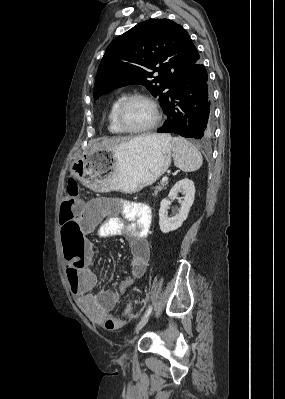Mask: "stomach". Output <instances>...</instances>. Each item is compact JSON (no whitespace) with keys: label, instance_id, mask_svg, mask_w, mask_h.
Segmentation results:
<instances>
[{"label":"stomach","instance_id":"1","mask_svg":"<svg viewBox=\"0 0 285 399\" xmlns=\"http://www.w3.org/2000/svg\"><path fill=\"white\" fill-rule=\"evenodd\" d=\"M169 135L131 140L113 150L97 149L74 160L70 175L95 192L134 193L153 184L171 164Z\"/></svg>","mask_w":285,"mask_h":399}]
</instances>
